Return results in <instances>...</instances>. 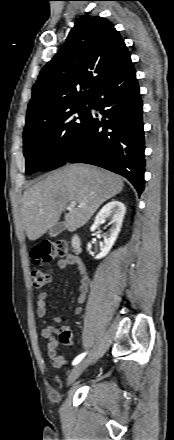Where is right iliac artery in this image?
Instances as JSON below:
<instances>
[{
    "label": "right iliac artery",
    "instance_id": "1",
    "mask_svg": "<svg viewBox=\"0 0 174 440\" xmlns=\"http://www.w3.org/2000/svg\"><path fill=\"white\" fill-rule=\"evenodd\" d=\"M85 355H86V353H82V354H80V355H78L75 359H74V361H73V365H76V364H78L84 357H85Z\"/></svg>",
    "mask_w": 174,
    "mask_h": 440
}]
</instances>
